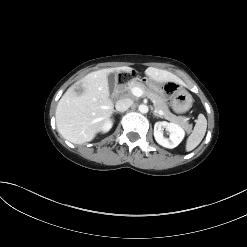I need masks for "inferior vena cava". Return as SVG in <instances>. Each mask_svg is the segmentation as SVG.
Listing matches in <instances>:
<instances>
[{"instance_id": "inferior-vena-cava-1", "label": "inferior vena cava", "mask_w": 247, "mask_h": 247, "mask_svg": "<svg viewBox=\"0 0 247 247\" xmlns=\"http://www.w3.org/2000/svg\"><path fill=\"white\" fill-rule=\"evenodd\" d=\"M133 104V101L129 98H122V99H119L117 102H116V110L119 111V112H124L126 111L131 105Z\"/></svg>"}]
</instances>
